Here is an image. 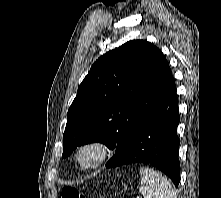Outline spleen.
Returning a JSON list of instances; mask_svg holds the SVG:
<instances>
[{
    "label": "spleen",
    "instance_id": "obj_1",
    "mask_svg": "<svg viewBox=\"0 0 221 198\" xmlns=\"http://www.w3.org/2000/svg\"><path fill=\"white\" fill-rule=\"evenodd\" d=\"M141 182L139 191L144 198H176V194L166 177L159 172L140 168Z\"/></svg>",
    "mask_w": 221,
    "mask_h": 198
}]
</instances>
